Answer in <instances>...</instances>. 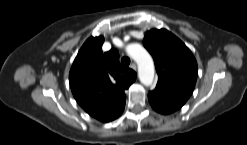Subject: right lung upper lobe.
Segmentation results:
<instances>
[{"label":"right lung upper lobe","instance_id":"right-lung-upper-lobe-1","mask_svg":"<svg viewBox=\"0 0 247 145\" xmlns=\"http://www.w3.org/2000/svg\"><path fill=\"white\" fill-rule=\"evenodd\" d=\"M104 37H91L78 52L69 74L72 93L79 105L92 117L109 122L118 118L125 106V89L135 81L136 73L119 63V53H102Z\"/></svg>","mask_w":247,"mask_h":145}]
</instances>
